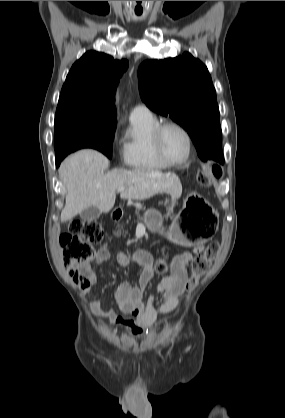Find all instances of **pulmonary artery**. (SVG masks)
I'll use <instances>...</instances> for the list:
<instances>
[{"mask_svg":"<svg viewBox=\"0 0 285 418\" xmlns=\"http://www.w3.org/2000/svg\"><path fill=\"white\" fill-rule=\"evenodd\" d=\"M151 117H152L151 111L143 105L134 106L130 110V113H129L130 120L148 119Z\"/></svg>","mask_w":285,"mask_h":418,"instance_id":"e3ab8cb5","label":"pulmonary artery"}]
</instances>
